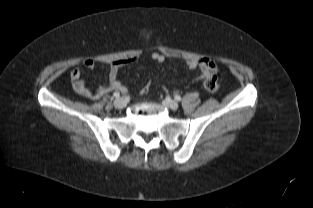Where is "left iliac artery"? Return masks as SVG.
<instances>
[{"label":"left iliac artery","instance_id":"left-iliac-artery-1","mask_svg":"<svg viewBox=\"0 0 313 208\" xmlns=\"http://www.w3.org/2000/svg\"><path fill=\"white\" fill-rule=\"evenodd\" d=\"M175 100L181 101V97L179 95H175Z\"/></svg>","mask_w":313,"mask_h":208}]
</instances>
